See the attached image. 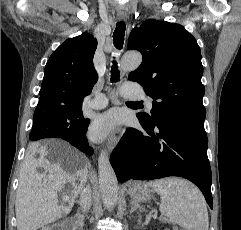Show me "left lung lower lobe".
<instances>
[{
  "label": "left lung lower lobe",
  "mask_w": 241,
  "mask_h": 230,
  "mask_svg": "<svg viewBox=\"0 0 241 230\" xmlns=\"http://www.w3.org/2000/svg\"><path fill=\"white\" fill-rule=\"evenodd\" d=\"M138 119L145 133L127 128L110 157L118 181L184 177L199 187L212 208L204 121L169 113L152 124Z\"/></svg>",
  "instance_id": "obj_1"
}]
</instances>
